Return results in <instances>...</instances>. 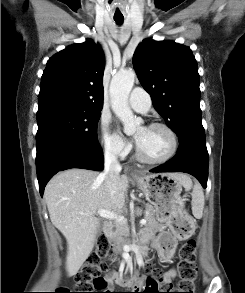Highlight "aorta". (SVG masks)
<instances>
[{"label":"aorta","instance_id":"obj_1","mask_svg":"<svg viewBox=\"0 0 245 293\" xmlns=\"http://www.w3.org/2000/svg\"><path fill=\"white\" fill-rule=\"evenodd\" d=\"M135 76L132 70L120 71L113 76L110 83L112 110L122 121L127 135L135 133L137 125L141 123V119L136 118L128 106V97L134 85Z\"/></svg>","mask_w":245,"mask_h":293}]
</instances>
